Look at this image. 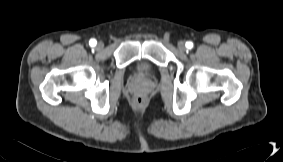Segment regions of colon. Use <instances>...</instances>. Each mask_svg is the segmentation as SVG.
<instances>
[{
    "label": "colon",
    "mask_w": 283,
    "mask_h": 162,
    "mask_svg": "<svg viewBox=\"0 0 283 162\" xmlns=\"http://www.w3.org/2000/svg\"><path fill=\"white\" fill-rule=\"evenodd\" d=\"M135 102H136V104L141 105L144 102V98L141 95H138L135 98Z\"/></svg>",
    "instance_id": "colon-1"
}]
</instances>
